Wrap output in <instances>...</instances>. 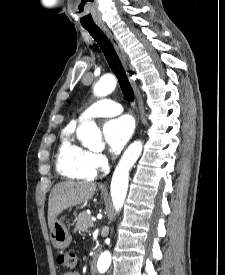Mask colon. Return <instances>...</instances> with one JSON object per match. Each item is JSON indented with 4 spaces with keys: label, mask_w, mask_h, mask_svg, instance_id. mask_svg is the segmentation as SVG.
Wrapping results in <instances>:
<instances>
[{
    "label": "colon",
    "mask_w": 225,
    "mask_h": 275,
    "mask_svg": "<svg viewBox=\"0 0 225 275\" xmlns=\"http://www.w3.org/2000/svg\"><path fill=\"white\" fill-rule=\"evenodd\" d=\"M58 264L68 270H72L76 266V255L72 252L61 253L57 258Z\"/></svg>",
    "instance_id": "1"
}]
</instances>
